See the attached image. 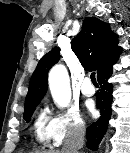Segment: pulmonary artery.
Returning a JSON list of instances; mask_svg holds the SVG:
<instances>
[{"label":"pulmonary artery","instance_id":"obj_1","mask_svg":"<svg viewBox=\"0 0 130 153\" xmlns=\"http://www.w3.org/2000/svg\"><path fill=\"white\" fill-rule=\"evenodd\" d=\"M80 91L85 96H92L95 94V89L92 86L89 78L84 79V81L80 87Z\"/></svg>","mask_w":130,"mask_h":153}]
</instances>
